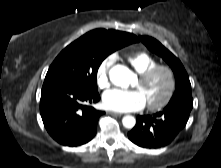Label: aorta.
Masks as SVG:
<instances>
[{"mask_svg":"<svg viewBox=\"0 0 221 168\" xmlns=\"http://www.w3.org/2000/svg\"><path fill=\"white\" fill-rule=\"evenodd\" d=\"M132 72L124 65L114 66L109 73L111 82L116 86L126 87L131 80ZM136 120L131 115H126L122 119L125 128L131 129L135 126Z\"/></svg>","mask_w":221,"mask_h":168,"instance_id":"obj_1","label":"aorta"}]
</instances>
